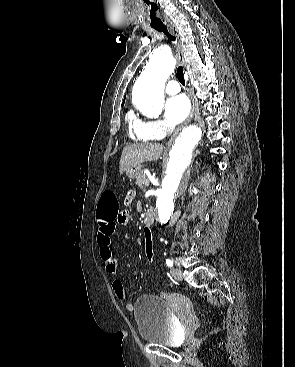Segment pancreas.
<instances>
[{"label": "pancreas", "instance_id": "1", "mask_svg": "<svg viewBox=\"0 0 295 367\" xmlns=\"http://www.w3.org/2000/svg\"><path fill=\"white\" fill-rule=\"evenodd\" d=\"M147 180V176L142 172L136 179V184L143 189V185L145 184V181Z\"/></svg>", "mask_w": 295, "mask_h": 367}]
</instances>
